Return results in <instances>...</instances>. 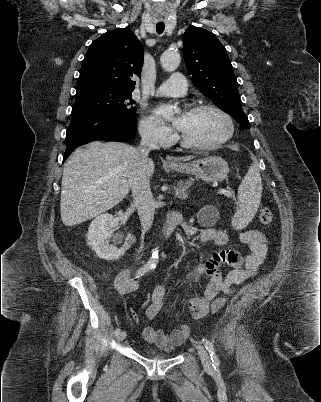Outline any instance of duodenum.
<instances>
[{"label": "duodenum", "instance_id": "obj_1", "mask_svg": "<svg viewBox=\"0 0 321 402\" xmlns=\"http://www.w3.org/2000/svg\"><path fill=\"white\" fill-rule=\"evenodd\" d=\"M182 222L183 216L179 211L173 210L169 212L161 229L160 237L162 239H167Z\"/></svg>", "mask_w": 321, "mask_h": 402}]
</instances>
